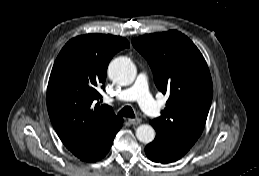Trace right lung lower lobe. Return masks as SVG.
I'll list each match as a JSON object with an SVG mask.
<instances>
[{
	"instance_id": "1",
	"label": "right lung lower lobe",
	"mask_w": 259,
	"mask_h": 176,
	"mask_svg": "<svg viewBox=\"0 0 259 176\" xmlns=\"http://www.w3.org/2000/svg\"><path fill=\"white\" fill-rule=\"evenodd\" d=\"M115 135H116V134H115ZM115 135H113L112 137H110V138H109L97 151H95L93 154H91V155H89L88 157L84 158L83 161L94 162V161H97V160H100L101 158H103V157L108 153V151L110 150Z\"/></svg>"
}]
</instances>
